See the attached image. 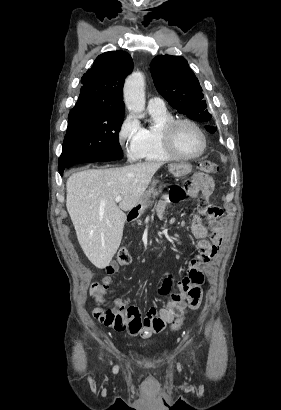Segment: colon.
Listing matches in <instances>:
<instances>
[{"label": "colon", "instance_id": "5ec220e1", "mask_svg": "<svg viewBox=\"0 0 281 410\" xmlns=\"http://www.w3.org/2000/svg\"><path fill=\"white\" fill-rule=\"evenodd\" d=\"M199 171L204 175L213 174L218 171V166L211 161H203L199 165ZM167 196L171 202H179L185 198L186 190L182 186L174 185L168 190ZM199 203L202 208H207L209 214L219 215L221 213V210L218 207L209 206L208 198L205 196H202L200 198ZM130 261L131 257L128 250L125 248L121 249L116 257L117 264L120 266H125L128 265ZM107 289L108 285L102 282H95L92 284L90 293L98 305L102 303ZM199 304L200 299L198 298V296H194L193 300L191 301V307L197 308ZM134 315H136V311L134 310H130L126 314H122L115 312L113 309L102 308H100V310L95 313L96 318L100 322L119 331H123L128 328H136L137 322H130V318ZM184 319V317L176 319L172 323V330H178L183 325Z\"/></svg>", "mask_w": 281, "mask_h": 410}]
</instances>
